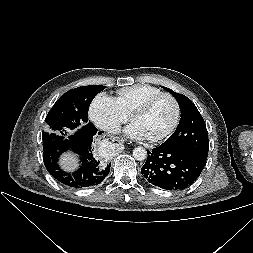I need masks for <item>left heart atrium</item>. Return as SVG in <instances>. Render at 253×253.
<instances>
[{"instance_id":"left-heart-atrium-1","label":"left heart atrium","mask_w":253,"mask_h":253,"mask_svg":"<svg viewBox=\"0 0 253 253\" xmlns=\"http://www.w3.org/2000/svg\"><path fill=\"white\" fill-rule=\"evenodd\" d=\"M125 134L129 138L136 140H144L148 138L147 134L141 129V127L134 122L125 129Z\"/></svg>"}]
</instances>
